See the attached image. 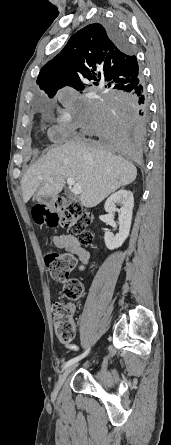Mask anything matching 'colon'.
I'll return each mask as SVG.
<instances>
[{
    "label": "colon",
    "mask_w": 171,
    "mask_h": 445,
    "mask_svg": "<svg viewBox=\"0 0 171 445\" xmlns=\"http://www.w3.org/2000/svg\"><path fill=\"white\" fill-rule=\"evenodd\" d=\"M59 207V213L47 211L38 206L33 211L35 222L40 226L51 229L62 227L67 229L72 235H78L83 242L89 244L92 235L86 230L91 221V216L77 202L63 203L58 200L55 203ZM45 261L50 276L56 281L68 279L70 271L76 265V256L70 253H58L48 251L45 254ZM81 293V284L77 279L67 281L63 296L66 299L74 300ZM53 314L55 318V335L61 343H70L75 337V327L72 322V307L70 304L56 301L53 304Z\"/></svg>",
    "instance_id": "obj_1"
}]
</instances>
